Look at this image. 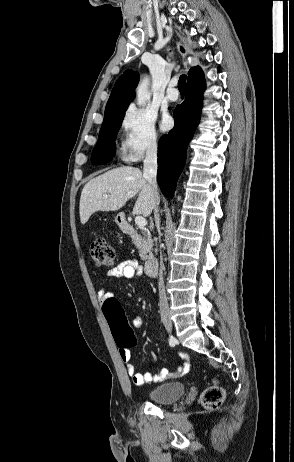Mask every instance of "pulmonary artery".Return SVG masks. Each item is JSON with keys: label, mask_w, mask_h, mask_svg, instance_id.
<instances>
[{"label": "pulmonary artery", "mask_w": 294, "mask_h": 462, "mask_svg": "<svg viewBox=\"0 0 294 462\" xmlns=\"http://www.w3.org/2000/svg\"><path fill=\"white\" fill-rule=\"evenodd\" d=\"M175 86H176V81L173 80V81L170 82V84H169V86L167 88V91H166V97L171 102H175L179 98V93H178L177 89L175 88Z\"/></svg>", "instance_id": "e3ab8cb5"}]
</instances>
